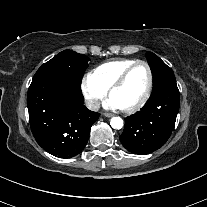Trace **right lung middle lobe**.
Wrapping results in <instances>:
<instances>
[{
	"mask_svg": "<svg viewBox=\"0 0 207 207\" xmlns=\"http://www.w3.org/2000/svg\"><path fill=\"white\" fill-rule=\"evenodd\" d=\"M90 59L72 50L60 52L54 58L44 63L35 73L32 82L39 80H57L81 89L83 74Z\"/></svg>",
	"mask_w": 207,
	"mask_h": 207,
	"instance_id": "dd1d6c3e",
	"label": "right lung middle lobe"
}]
</instances>
